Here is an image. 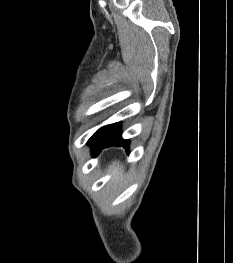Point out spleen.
Returning <instances> with one entry per match:
<instances>
[{
	"instance_id": "obj_1",
	"label": "spleen",
	"mask_w": 233,
	"mask_h": 263,
	"mask_svg": "<svg viewBox=\"0 0 233 263\" xmlns=\"http://www.w3.org/2000/svg\"><path fill=\"white\" fill-rule=\"evenodd\" d=\"M108 171H115V176H114L115 180H119L123 178V170L119 162H116V161L113 162Z\"/></svg>"
}]
</instances>
